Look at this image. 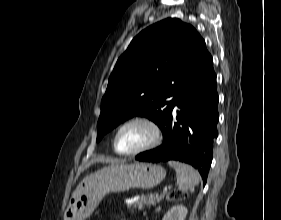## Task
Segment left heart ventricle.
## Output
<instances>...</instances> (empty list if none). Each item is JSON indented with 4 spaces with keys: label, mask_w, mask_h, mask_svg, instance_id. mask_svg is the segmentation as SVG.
<instances>
[{
    "label": "left heart ventricle",
    "mask_w": 281,
    "mask_h": 220,
    "mask_svg": "<svg viewBox=\"0 0 281 220\" xmlns=\"http://www.w3.org/2000/svg\"><path fill=\"white\" fill-rule=\"evenodd\" d=\"M152 138L151 129L142 123H135L125 127L118 136L117 148L121 152L137 150Z\"/></svg>",
    "instance_id": "left-heart-ventricle-1"
}]
</instances>
